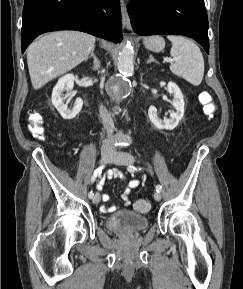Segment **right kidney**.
<instances>
[{"label":"right kidney","instance_id":"1","mask_svg":"<svg viewBox=\"0 0 243 289\" xmlns=\"http://www.w3.org/2000/svg\"><path fill=\"white\" fill-rule=\"evenodd\" d=\"M75 77L73 74H67L61 77L52 91V104L58 110L63 119H73L82 109L83 100L77 98L75 106L72 109H68L67 104H64L62 93L66 90L69 91L74 86Z\"/></svg>","mask_w":243,"mask_h":289}]
</instances>
